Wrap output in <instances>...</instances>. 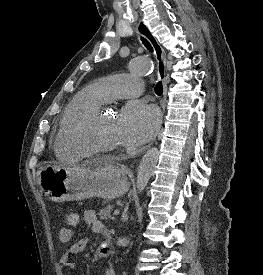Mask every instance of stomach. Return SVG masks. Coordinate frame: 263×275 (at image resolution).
<instances>
[{"mask_svg": "<svg viewBox=\"0 0 263 275\" xmlns=\"http://www.w3.org/2000/svg\"><path fill=\"white\" fill-rule=\"evenodd\" d=\"M38 183L45 196L54 202L92 197L111 200L122 196L129 188L126 171L114 164L95 169L47 165L39 171Z\"/></svg>", "mask_w": 263, "mask_h": 275, "instance_id": "obj_1", "label": "stomach"}]
</instances>
